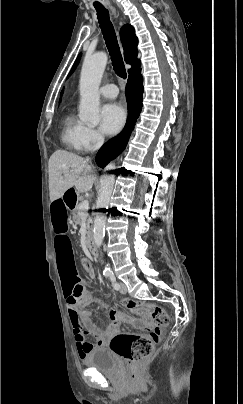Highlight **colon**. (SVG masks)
Returning <instances> with one entry per match:
<instances>
[{
  "label": "colon",
  "instance_id": "1",
  "mask_svg": "<svg viewBox=\"0 0 243 404\" xmlns=\"http://www.w3.org/2000/svg\"><path fill=\"white\" fill-rule=\"evenodd\" d=\"M80 264L84 271L91 270V263L88 259H81ZM120 303L131 311L148 313L156 324V327L147 335L117 333L110 341V347L115 353L131 363H139L152 354L160 338V327L168 324L169 317L164 308L155 304L133 299H123Z\"/></svg>",
  "mask_w": 243,
  "mask_h": 404
}]
</instances>
